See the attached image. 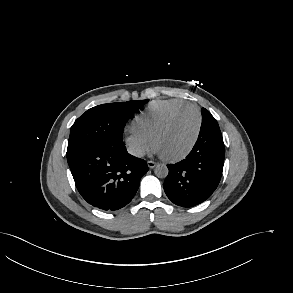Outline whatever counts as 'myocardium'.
<instances>
[{
	"label": "myocardium",
	"instance_id": "f54148a6",
	"mask_svg": "<svg viewBox=\"0 0 293 293\" xmlns=\"http://www.w3.org/2000/svg\"><path fill=\"white\" fill-rule=\"evenodd\" d=\"M187 110H193L197 115L198 121H197L196 133L194 135V138H193L191 144L188 146V148L185 151H183L182 153H180L179 155L171 156V157L162 155V158L168 162H178V161L185 159L195 148V146L199 140L200 134H201L202 123H203L202 114H201L200 109L193 104H189V105H185V106H182V107L174 110L172 113H170L166 117V119L159 125V127L154 131V133L151 136V143H152V145L155 146V141H156L157 137L169 127V125L176 118V116H178L180 113L185 112Z\"/></svg>",
	"mask_w": 293,
	"mask_h": 293
}]
</instances>
